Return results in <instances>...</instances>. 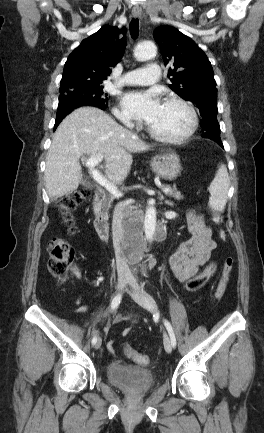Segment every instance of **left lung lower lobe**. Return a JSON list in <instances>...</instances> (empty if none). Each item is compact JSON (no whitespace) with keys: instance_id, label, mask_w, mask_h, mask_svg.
Returning a JSON list of instances; mask_svg holds the SVG:
<instances>
[{"instance_id":"obj_1","label":"left lung lower lobe","mask_w":264,"mask_h":433,"mask_svg":"<svg viewBox=\"0 0 264 433\" xmlns=\"http://www.w3.org/2000/svg\"><path fill=\"white\" fill-rule=\"evenodd\" d=\"M219 126V123L217 121L216 116H205L202 117L201 120V127L202 129L206 128V129H210L212 127H217ZM217 142L222 148H223V144L221 141H215Z\"/></svg>"}]
</instances>
